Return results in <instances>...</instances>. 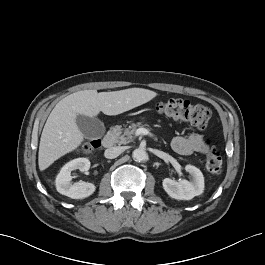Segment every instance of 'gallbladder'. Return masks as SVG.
<instances>
[{
	"label": "gallbladder",
	"mask_w": 265,
	"mask_h": 265,
	"mask_svg": "<svg viewBox=\"0 0 265 265\" xmlns=\"http://www.w3.org/2000/svg\"><path fill=\"white\" fill-rule=\"evenodd\" d=\"M76 124L87 139L100 137L105 133L104 123L95 117L77 115Z\"/></svg>",
	"instance_id": "1"
}]
</instances>
